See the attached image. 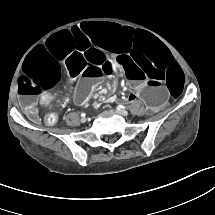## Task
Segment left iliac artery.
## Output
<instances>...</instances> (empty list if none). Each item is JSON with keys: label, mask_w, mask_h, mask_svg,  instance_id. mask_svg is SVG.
Instances as JSON below:
<instances>
[{"label": "left iliac artery", "mask_w": 215, "mask_h": 215, "mask_svg": "<svg viewBox=\"0 0 215 215\" xmlns=\"http://www.w3.org/2000/svg\"><path fill=\"white\" fill-rule=\"evenodd\" d=\"M117 109H118V110H119V109H125V107H124V106L119 105V106L117 107Z\"/></svg>", "instance_id": "44dca946"}]
</instances>
